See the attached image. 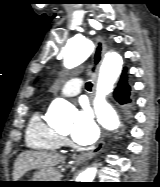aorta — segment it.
<instances>
[{"label": "aorta", "instance_id": "obj_1", "mask_svg": "<svg viewBox=\"0 0 160 187\" xmlns=\"http://www.w3.org/2000/svg\"><path fill=\"white\" fill-rule=\"evenodd\" d=\"M93 52V43L85 37L70 39L64 49V65L73 68L84 62ZM122 57L115 52L105 55L100 67L94 100L95 113L98 122L107 130L118 129L120 122L114 109L106 102L105 97L112 92L114 83L122 69ZM72 105L62 98L55 99L49 107L47 116L49 121L59 123L70 119ZM97 167H90L80 173L76 182H93Z\"/></svg>", "mask_w": 160, "mask_h": 187}]
</instances>
